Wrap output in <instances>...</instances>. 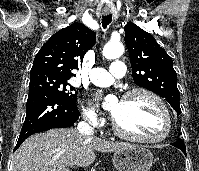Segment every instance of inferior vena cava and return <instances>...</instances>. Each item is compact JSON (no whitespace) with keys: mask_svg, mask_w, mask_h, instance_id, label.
<instances>
[{"mask_svg":"<svg viewBox=\"0 0 199 171\" xmlns=\"http://www.w3.org/2000/svg\"><path fill=\"white\" fill-rule=\"evenodd\" d=\"M77 130L79 133L87 135V136H93V133H94V128L87 121L79 122L77 126Z\"/></svg>","mask_w":199,"mask_h":171,"instance_id":"inferior-vena-cava-1","label":"inferior vena cava"}]
</instances>
